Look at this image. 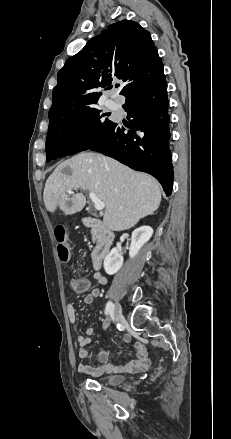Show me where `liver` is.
Returning <instances> with one entry per match:
<instances>
[{
    "label": "liver",
    "mask_w": 231,
    "mask_h": 439,
    "mask_svg": "<svg viewBox=\"0 0 231 439\" xmlns=\"http://www.w3.org/2000/svg\"><path fill=\"white\" fill-rule=\"evenodd\" d=\"M71 187L93 192L104 202L103 223L112 231L132 228L153 214L161 202L160 185L155 178L98 153L77 154L54 170L44 188L46 209L53 213L59 208L66 215L80 212L86 197L82 192L70 197L67 190Z\"/></svg>",
    "instance_id": "6515ba94"
}]
</instances>
